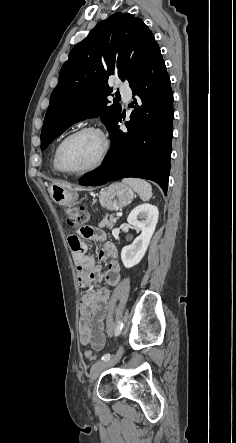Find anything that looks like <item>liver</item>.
<instances>
[{"label": "liver", "instance_id": "obj_1", "mask_svg": "<svg viewBox=\"0 0 236 443\" xmlns=\"http://www.w3.org/2000/svg\"><path fill=\"white\" fill-rule=\"evenodd\" d=\"M55 184L59 185V186H62V187H65V188H68V189H71V186L69 184H63V183H59V182H57Z\"/></svg>", "mask_w": 236, "mask_h": 443}]
</instances>
